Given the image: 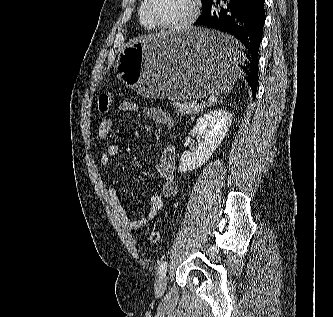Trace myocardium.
Listing matches in <instances>:
<instances>
[{
    "instance_id": "myocardium-1",
    "label": "myocardium",
    "mask_w": 333,
    "mask_h": 317,
    "mask_svg": "<svg viewBox=\"0 0 333 317\" xmlns=\"http://www.w3.org/2000/svg\"><path fill=\"white\" fill-rule=\"evenodd\" d=\"M149 3L150 0H143L142 2V14L145 20L154 28V29H162L169 30L174 32H180L188 29L197 19L200 12V0H189V13L188 15L177 23H160L149 15Z\"/></svg>"
}]
</instances>
